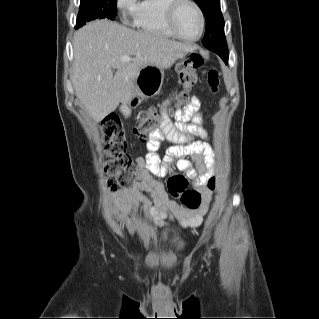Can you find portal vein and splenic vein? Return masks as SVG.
<instances>
[{"mask_svg":"<svg viewBox=\"0 0 319 319\" xmlns=\"http://www.w3.org/2000/svg\"><path fill=\"white\" fill-rule=\"evenodd\" d=\"M121 60H122V61H130V60H131V57H130V56H122V57H121Z\"/></svg>","mask_w":319,"mask_h":319,"instance_id":"1","label":"portal vein and splenic vein"}]
</instances>
